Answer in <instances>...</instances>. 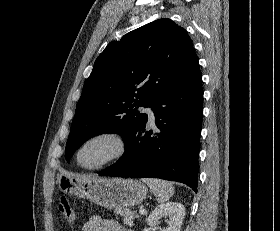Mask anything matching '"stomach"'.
Listing matches in <instances>:
<instances>
[{
	"instance_id": "obj_1",
	"label": "stomach",
	"mask_w": 280,
	"mask_h": 231,
	"mask_svg": "<svg viewBox=\"0 0 280 231\" xmlns=\"http://www.w3.org/2000/svg\"><path fill=\"white\" fill-rule=\"evenodd\" d=\"M59 189L69 195L86 197L97 205L108 209H124L142 203L148 193L145 183L137 179L122 177H91V175H75V173H59L57 177Z\"/></svg>"
}]
</instances>
